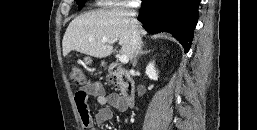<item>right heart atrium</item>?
<instances>
[{
  "label": "right heart atrium",
  "instance_id": "obj_1",
  "mask_svg": "<svg viewBox=\"0 0 257 130\" xmlns=\"http://www.w3.org/2000/svg\"><path fill=\"white\" fill-rule=\"evenodd\" d=\"M102 5L112 6V5H126L129 2H121L120 0H100Z\"/></svg>",
  "mask_w": 257,
  "mask_h": 130
}]
</instances>
